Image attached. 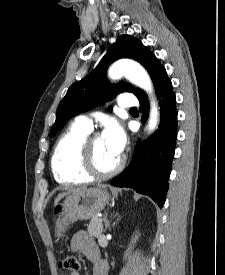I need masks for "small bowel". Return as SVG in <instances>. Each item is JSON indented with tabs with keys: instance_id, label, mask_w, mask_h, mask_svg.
<instances>
[{
	"instance_id": "small-bowel-1",
	"label": "small bowel",
	"mask_w": 225,
	"mask_h": 275,
	"mask_svg": "<svg viewBox=\"0 0 225 275\" xmlns=\"http://www.w3.org/2000/svg\"><path fill=\"white\" fill-rule=\"evenodd\" d=\"M72 251L83 253L93 263V275H108V264L101 259L97 244L84 231L75 233L70 242ZM70 275H80L79 272H72Z\"/></svg>"
}]
</instances>
